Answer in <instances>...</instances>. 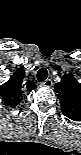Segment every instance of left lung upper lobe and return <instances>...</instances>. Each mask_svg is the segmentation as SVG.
<instances>
[{
  "label": "left lung upper lobe",
  "instance_id": "obj_1",
  "mask_svg": "<svg viewBox=\"0 0 81 155\" xmlns=\"http://www.w3.org/2000/svg\"><path fill=\"white\" fill-rule=\"evenodd\" d=\"M62 112L74 121H81V84L71 74H66L55 84Z\"/></svg>",
  "mask_w": 81,
  "mask_h": 155
}]
</instances>
